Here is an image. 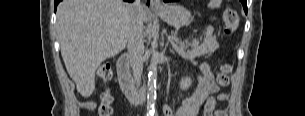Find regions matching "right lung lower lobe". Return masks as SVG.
Instances as JSON below:
<instances>
[{
  "label": "right lung lower lobe",
  "mask_w": 305,
  "mask_h": 116,
  "mask_svg": "<svg viewBox=\"0 0 305 116\" xmlns=\"http://www.w3.org/2000/svg\"><path fill=\"white\" fill-rule=\"evenodd\" d=\"M60 1L61 0H55V9ZM125 1L132 2L133 0H125ZM148 2H149V0H148Z\"/></svg>",
  "instance_id": "obj_1"
}]
</instances>
